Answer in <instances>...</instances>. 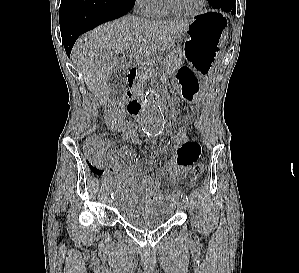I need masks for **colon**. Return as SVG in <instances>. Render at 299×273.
Wrapping results in <instances>:
<instances>
[{
  "instance_id": "obj_1",
  "label": "colon",
  "mask_w": 299,
  "mask_h": 273,
  "mask_svg": "<svg viewBox=\"0 0 299 273\" xmlns=\"http://www.w3.org/2000/svg\"><path fill=\"white\" fill-rule=\"evenodd\" d=\"M189 136L188 128L184 124H180L176 132L171 137V145H179L183 143ZM84 150L87 158V163L91 171L101 176L103 174L102 158L103 154L108 150H117L125 145L131 143L137 147L143 146V140L140 135L135 137L132 141L127 142L123 138L118 141H104L96 136H88L83 139ZM204 172L202 164H196L189 175L188 185L193 186L197 183Z\"/></svg>"
}]
</instances>
